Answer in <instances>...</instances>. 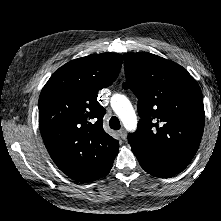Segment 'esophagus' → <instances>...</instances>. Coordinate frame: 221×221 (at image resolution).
Segmentation results:
<instances>
[{
    "label": "esophagus",
    "instance_id": "obj_1",
    "mask_svg": "<svg viewBox=\"0 0 221 221\" xmlns=\"http://www.w3.org/2000/svg\"><path fill=\"white\" fill-rule=\"evenodd\" d=\"M119 135L121 137V139H126V136H127V133H126V130L124 128H122L120 131H119Z\"/></svg>",
    "mask_w": 221,
    "mask_h": 221
}]
</instances>
